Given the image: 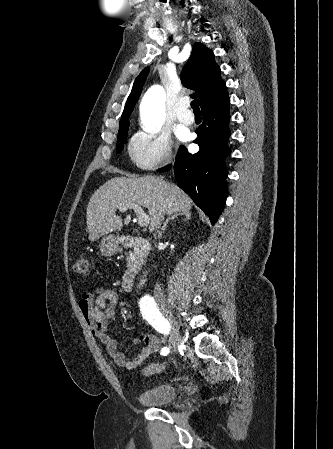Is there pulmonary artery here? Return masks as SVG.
Listing matches in <instances>:
<instances>
[{"instance_id":"obj_1","label":"pulmonary artery","mask_w":333,"mask_h":449,"mask_svg":"<svg viewBox=\"0 0 333 449\" xmlns=\"http://www.w3.org/2000/svg\"><path fill=\"white\" fill-rule=\"evenodd\" d=\"M176 116L183 124L190 125L194 122V115L188 109V104L185 101H180L178 103Z\"/></svg>"}]
</instances>
